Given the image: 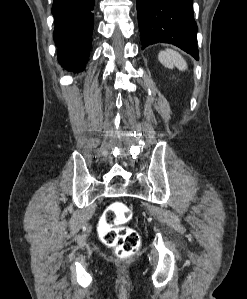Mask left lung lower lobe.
Here are the masks:
<instances>
[{
  "mask_svg": "<svg viewBox=\"0 0 247 299\" xmlns=\"http://www.w3.org/2000/svg\"><path fill=\"white\" fill-rule=\"evenodd\" d=\"M137 14L142 49L169 43L199 59L192 0H137Z\"/></svg>",
  "mask_w": 247,
  "mask_h": 299,
  "instance_id": "0a47b994",
  "label": "left lung lower lobe"
}]
</instances>
